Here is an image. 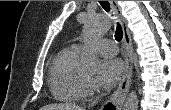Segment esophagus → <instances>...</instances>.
Returning a JSON list of instances; mask_svg holds the SVG:
<instances>
[{
	"label": "esophagus",
	"mask_w": 171,
	"mask_h": 110,
	"mask_svg": "<svg viewBox=\"0 0 171 110\" xmlns=\"http://www.w3.org/2000/svg\"><path fill=\"white\" fill-rule=\"evenodd\" d=\"M113 9L116 12L123 29V42L125 48V72L122 80L111 95L110 99L102 106V110H120L123 106L127 93L132 83L133 64H132V40L127 22L121 13V8L116 1H110Z\"/></svg>",
	"instance_id": "esophagus-1"
}]
</instances>
